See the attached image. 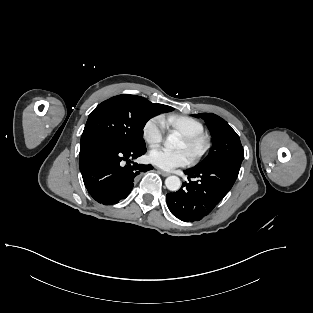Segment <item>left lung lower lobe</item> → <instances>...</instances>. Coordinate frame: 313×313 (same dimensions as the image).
<instances>
[{
	"mask_svg": "<svg viewBox=\"0 0 313 313\" xmlns=\"http://www.w3.org/2000/svg\"><path fill=\"white\" fill-rule=\"evenodd\" d=\"M241 163L222 162L184 171L189 183L166 195L169 210L182 221L194 222L208 215L230 191Z\"/></svg>",
	"mask_w": 313,
	"mask_h": 313,
	"instance_id": "left-lung-lower-lobe-1",
	"label": "left lung lower lobe"
}]
</instances>
